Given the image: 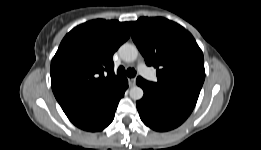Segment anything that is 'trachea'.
Returning a JSON list of instances; mask_svg holds the SVG:
<instances>
[{
    "instance_id": "1",
    "label": "trachea",
    "mask_w": 261,
    "mask_h": 150,
    "mask_svg": "<svg viewBox=\"0 0 261 150\" xmlns=\"http://www.w3.org/2000/svg\"><path fill=\"white\" fill-rule=\"evenodd\" d=\"M117 74L119 76L127 75L128 77H135L136 71L133 68H128L127 70H125V68L123 66H120L117 70Z\"/></svg>"
}]
</instances>
